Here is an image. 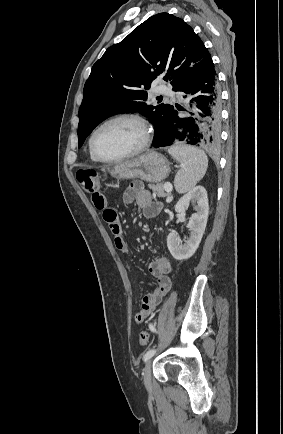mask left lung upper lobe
<instances>
[{
	"instance_id": "5c2ea615",
	"label": "left lung upper lobe",
	"mask_w": 283,
	"mask_h": 434,
	"mask_svg": "<svg viewBox=\"0 0 283 434\" xmlns=\"http://www.w3.org/2000/svg\"><path fill=\"white\" fill-rule=\"evenodd\" d=\"M210 60L200 37L181 18L168 13L150 17L93 65L79 109V147L106 118L136 111L153 121L155 142L174 107L146 103L152 81L162 78L176 90Z\"/></svg>"
}]
</instances>
